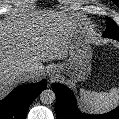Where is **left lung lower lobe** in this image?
<instances>
[{"instance_id":"left-lung-lower-lobe-1","label":"left lung lower lobe","mask_w":119,"mask_h":119,"mask_svg":"<svg viewBox=\"0 0 119 119\" xmlns=\"http://www.w3.org/2000/svg\"><path fill=\"white\" fill-rule=\"evenodd\" d=\"M103 36L119 41V36ZM52 89L56 94L55 111L58 119H119V107L103 115L83 114L78 110L73 93L66 86L53 83Z\"/></svg>"}]
</instances>
